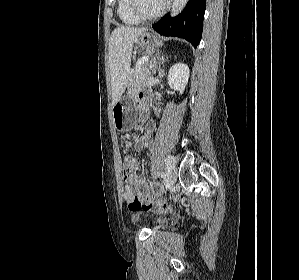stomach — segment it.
I'll use <instances>...</instances> for the list:
<instances>
[{"label": "stomach", "mask_w": 299, "mask_h": 280, "mask_svg": "<svg viewBox=\"0 0 299 280\" xmlns=\"http://www.w3.org/2000/svg\"><path fill=\"white\" fill-rule=\"evenodd\" d=\"M136 44L143 49H154L162 45L161 39L148 31L142 33L137 39ZM133 98L123 96L112 109L115 127L119 130L130 129L133 126Z\"/></svg>", "instance_id": "1"}]
</instances>
